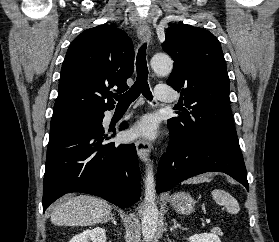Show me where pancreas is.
Returning <instances> with one entry per match:
<instances>
[{"label": "pancreas", "instance_id": "obj_1", "mask_svg": "<svg viewBox=\"0 0 279 242\" xmlns=\"http://www.w3.org/2000/svg\"><path fill=\"white\" fill-rule=\"evenodd\" d=\"M216 232H217L218 234H221V231H220V230H218V229L216 230Z\"/></svg>", "mask_w": 279, "mask_h": 242}]
</instances>
